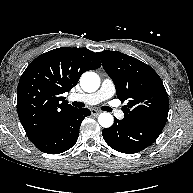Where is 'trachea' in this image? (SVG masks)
Instances as JSON below:
<instances>
[{
    "mask_svg": "<svg viewBox=\"0 0 193 193\" xmlns=\"http://www.w3.org/2000/svg\"><path fill=\"white\" fill-rule=\"evenodd\" d=\"M72 104H73L75 107H84V103H82V102H73ZM102 110L108 111V112L112 111V109H111L109 106H103V107H102Z\"/></svg>",
    "mask_w": 193,
    "mask_h": 193,
    "instance_id": "1",
    "label": "trachea"
}]
</instances>
